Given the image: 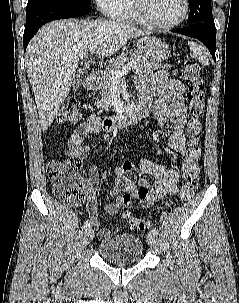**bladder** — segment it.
Returning <instances> with one entry per match:
<instances>
[{"label": "bladder", "instance_id": "1", "mask_svg": "<svg viewBox=\"0 0 239 303\" xmlns=\"http://www.w3.org/2000/svg\"><path fill=\"white\" fill-rule=\"evenodd\" d=\"M99 255L117 265H129L140 261L143 254L142 240L129 233L114 236L98 245Z\"/></svg>", "mask_w": 239, "mask_h": 303}]
</instances>
